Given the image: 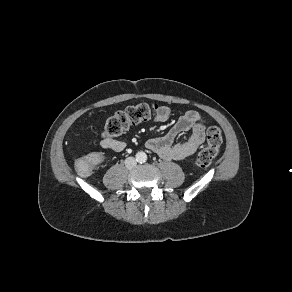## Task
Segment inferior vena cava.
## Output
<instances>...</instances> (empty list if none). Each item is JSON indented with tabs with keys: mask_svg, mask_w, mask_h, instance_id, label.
Returning <instances> with one entry per match:
<instances>
[{
	"mask_svg": "<svg viewBox=\"0 0 292 292\" xmlns=\"http://www.w3.org/2000/svg\"><path fill=\"white\" fill-rule=\"evenodd\" d=\"M136 164H137V162H136V159L134 157H128L125 159V166L128 169L133 168L134 166H136Z\"/></svg>",
	"mask_w": 292,
	"mask_h": 292,
	"instance_id": "obj_1",
	"label": "inferior vena cava"
}]
</instances>
